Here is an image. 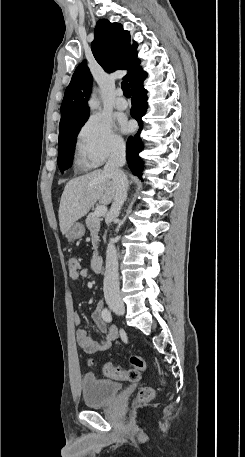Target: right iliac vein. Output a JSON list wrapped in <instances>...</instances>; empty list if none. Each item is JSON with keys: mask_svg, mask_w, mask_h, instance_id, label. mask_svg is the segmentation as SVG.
<instances>
[{"mask_svg": "<svg viewBox=\"0 0 245 457\" xmlns=\"http://www.w3.org/2000/svg\"><path fill=\"white\" fill-rule=\"evenodd\" d=\"M106 302L117 314L122 315L124 313L125 307L120 297L106 296Z\"/></svg>", "mask_w": 245, "mask_h": 457, "instance_id": "1", "label": "right iliac vein"}]
</instances>
